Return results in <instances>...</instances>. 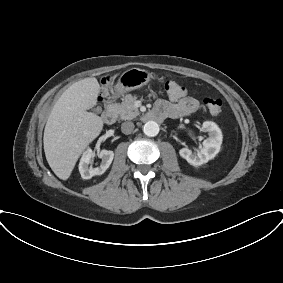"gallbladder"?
<instances>
[{
  "instance_id": "gallbladder-1",
  "label": "gallbladder",
  "mask_w": 283,
  "mask_h": 283,
  "mask_svg": "<svg viewBox=\"0 0 283 283\" xmlns=\"http://www.w3.org/2000/svg\"><path fill=\"white\" fill-rule=\"evenodd\" d=\"M93 111H94V112H98V110H97V109H93Z\"/></svg>"
}]
</instances>
